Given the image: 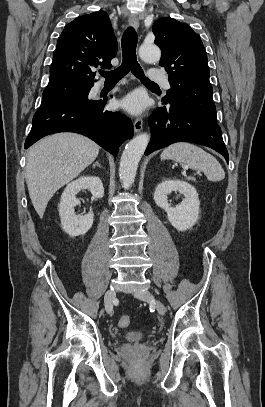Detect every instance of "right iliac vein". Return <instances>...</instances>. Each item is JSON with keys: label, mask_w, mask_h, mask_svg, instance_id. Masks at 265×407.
I'll list each match as a JSON object with an SVG mask.
<instances>
[{"label": "right iliac vein", "mask_w": 265, "mask_h": 407, "mask_svg": "<svg viewBox=\"0 0 265 407\" xmlns=\"http://www.w3.org/2000/svg\"><path fill=\"white\" fill-rule=\"evenodd\" d=\"M116 293L113 290H108L104 296V304L108 314L113 312V302L115 300Z\"/></svg>", "instance_id": "obj_1"}]
</instances>
